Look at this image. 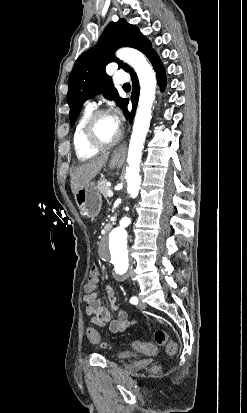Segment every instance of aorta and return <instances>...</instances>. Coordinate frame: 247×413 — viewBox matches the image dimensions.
Listing matches in <instances>:
<instances>
[{"instance_id":"1","label":"aorta","mask_w":247,"mask_h":413,"mask_svg":"<svg viewBox=\"0 0 247 413\" xmlns=\"http://www.w3.org/2000/svg\"><path fill=\"white\" fill-rule=\"evenodd\" d=\"M117 56L133 67L140 84V96L129 144L128 167L126 169L127 191L132 198H136L141 185L139 167L143 144L152 118L151 108L155 100L156 77L152 66L138 50L122 48L117 51ZM129 223L130 219L124 217L120 221L121 227L116 228L112 232V238L116 241V246H114L111 255L115 269L120 274L126 272L128 269V251L125 240L126 232L122 227L127 226Z\"/></svg>"}]
</instances>
